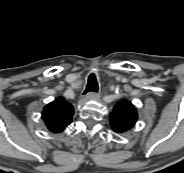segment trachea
Listing matches in <instances>:
<instances>
[{
  "mask_svg": "<svg viewBox=\"0 0 184 173\" xmlns=\"http://www.w3.org/2000/svg\"><path fill=\"white\" fill-rule=\"evenodd\" d=\"M98 91V82L94 73L90 74L88 77V83L84 94L87 92H97Z\"/></svg>",
  "mask_w": 184,
  "mask_h": 173,
  "instance_id": "3493384b",
  "label": "trachea"
}]
</instances>
